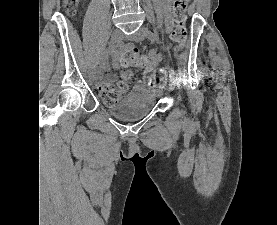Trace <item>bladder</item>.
Segmentation results:
<instances>
[{"label":"bladder","instance_id":"1","mask_svg":"<svg viewBox=\"0 0 277 225\" xmlns=\"http://www.w3.org/2000/svg\"><path fill=\"white\" fill-rule=\"evenodd\" d=\"M158 97L159 93L156 90H132L119 101L107 104V110L121 120H140L154 109Z\"/></svg>","mask_w":277,"mask_h":225}]
</instances>
